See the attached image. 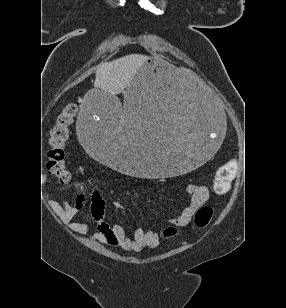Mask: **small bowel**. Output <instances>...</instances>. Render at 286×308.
<instances>
[{
  "instance_id": "c3829d8e",
  "label": "small bowel",
  "mask_w": 286,
  "mask_h": 308,
  "mask_svg": "<svg viewBox=\"0 0 286 308\" xmlns=\"http://www.w3.org/2000/svg\"><path fill=\"white\" fill-rule=\"evenodd\" d=\"M186 192L190 195L191 200L184 208L182 213L170 220V223L177 227H184L189 224L195 212L207 202L209 190L206 186L190 183L186 187ZM91 196V215L98 222L97 231L94 238L102 243L120 247L126 251H140L143 248H155L159 245L160 236L152 230L142 228L135 229L133 237H128L124 229L119 224L108 225L104 220L105 202L99 189L84 188L78 195L74 205L66 203L53 202V207L60 215L61 219L69 223L70 228L78 234H85L89 231L87 222H72L75 216L83 208L86 199ZM112 206L115 209H123V204L119 201H113Z\"/></svg>"
}]
</instances>
